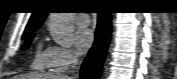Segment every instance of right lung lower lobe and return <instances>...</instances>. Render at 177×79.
<instances>
[{"label": "right lung lower lobe", "mask_w": 177, "mask_h": 79, "mask_svg": "<svg viewBox=\"0 0 177 79\" xmlns=\"http://www.w3.org/2000/svg\"><path fill=\"white\" fill-rule=\"evenodd\" d=\"M111 34V17L108 12H100L96 29V39L85 59L80 76L82 79H98L105 60Z\"/></svg>", "instance_id": "right-lung-lower-lobe-1"}]
</instances>
